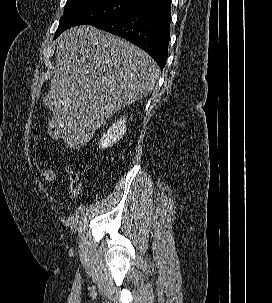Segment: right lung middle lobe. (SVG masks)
<instances>
[{"label":"right lung middle lobe","mask_w":272,"mask_h":303,"mask_svg":"<svg viewBox=\"0 0 272 303\" xmlns=\"http://www.w3.org/2000/svg\"><path fill=\"white\" fill-rule=\"evenodd\" d=\"M137 7L135 2L129 0H68L54 38L73 26L92 25Z\"/></svg>","instance_id":"dd1d6c3e"}]
</instances>
